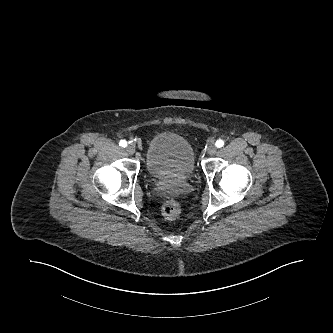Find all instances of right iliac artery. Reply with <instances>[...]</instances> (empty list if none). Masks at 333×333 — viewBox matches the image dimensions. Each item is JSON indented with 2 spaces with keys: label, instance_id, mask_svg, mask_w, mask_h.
<instances>
[{
  "label": "right iliac artery",
  "instance_id": "obj_1",
  "mask_svg": "<svg viewBox=\"0 0 333 333\" xmlns=\"http://www.w3.org/2000/svg\"><path fill=\"white\" fill-rule=\"evenodd\" d=\"M119 145H120L121 147H126V146H127V141H126V140H121V141L119 142Z\"/></svg>",
  "mask_w": 333,
  "mask_h": 333
}]
</instances>
